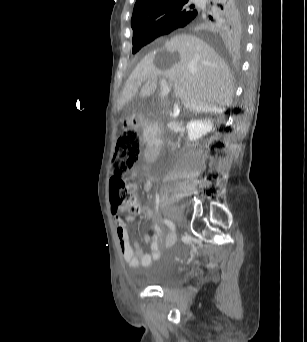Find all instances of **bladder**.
<instances>
[{"instance_id": "1", "label": "bladder", "mask_w": 307, "mask_h": 342, "mask_svg": "<svg viewBox=\"0 0 307 342\" xmlns=\"http://www.w3.org/2000/svg\"><path fill=\"white\" fill-rule=\"evenodd\" d=\"M179 281L177 269L168 261L159 259L151 267L148 283L162 288L170 287Z\"/></svg>"}]
</instances>
